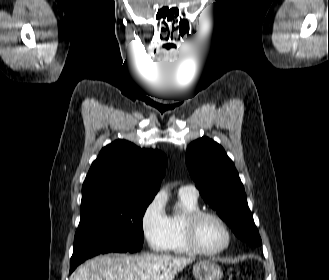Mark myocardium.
<instances>
[{
    "label": "myocardium",
    "instance_id": "myocardium-1",
    "mask_svg": "<svg viewBox=\"0 0 329 280\" xmlns=\"http://www.w3.org/2000/svg\"><path fill=\"white\" fill-rule=\"evenodd\" d=\"M206 217L213 218L218 221L226 233L225 244L216 250H206L200 245L198 241V225L200 221ZM184 236L186 243L192 253L207 257L221 255L231 246L233 240L232 231L225 219L218 213L209 210H197L186 216L184 222Z\"/></svg>",
    "mask_w": 329,
    "mask_h": 280
}]
</instances>
